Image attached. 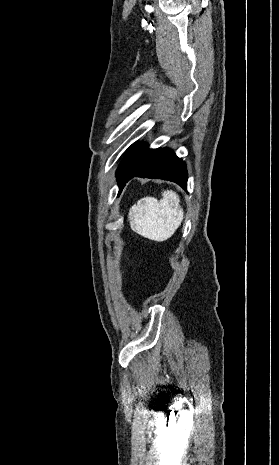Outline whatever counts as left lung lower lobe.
Returning a JSON list of instances; mask_svg holds the SVG:
<instances>
[{"instance_id": "0a47b994", "label": "left lung lower lobe", "mask_w": 279, "mask_h": 465, "mask_svg": "<svg viewBox=\"0 0 279 465\" xmlns=\"http://www.w3.org/2000/svg\"><path fill=\"white\" fill-rule=\"evenodd\" d=\"M133 177L169 180L187 190L186 164L168 148H159Z\"/></svg>"}]
</instances>
